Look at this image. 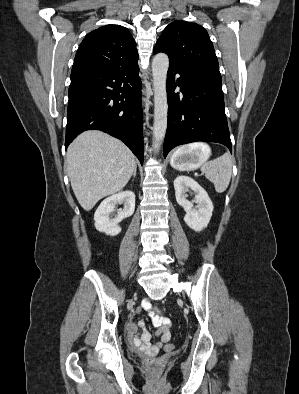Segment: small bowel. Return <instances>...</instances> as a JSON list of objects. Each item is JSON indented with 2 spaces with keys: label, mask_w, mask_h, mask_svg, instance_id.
Here are the masks:
<instances>
[{
  "label": "small bowel",
  "mask_w": 299,
  "mask_h": 394,
  "mask_svg": "<svg viewBox=\"0 0 299 394\" xmlns=\"http://www.w3.org/2000/svg\"><path fill=\"white\" fill-rule=\"evenodd\" d=\"M140 309L148 311L153 325L156 327V336L159 341L156 344L150 343L151 335L147 330L144 321L130 323L128 325V338L131 346L149 356L156 355L171 339V321L163 316L158 307L153 306L149 301L142 302Z\"/></svg>",
  "instance_id": "obj_1"
}]
</instances>
